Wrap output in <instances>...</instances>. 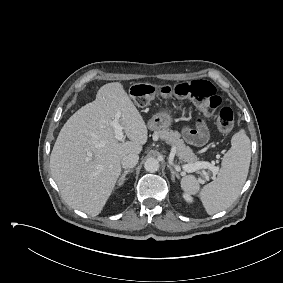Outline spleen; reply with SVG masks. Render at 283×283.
<instances>
[{
	"instance_id": "3e777b00",
	"label": "spleen",
	"mask_w": 283,
	"mask_h": 283,
	"mask_svg": "<svg viewBox=\"0 0 283 283\" xmlns=\"http://www.w3.org/2000/svg\"><path fill=\"white\" fill-rule=\"evenodd\" d=\"M231 145L223 157L217 178L205 185L199 193L209 215L225 210L233 204L248 175L251 147L250 140L244 130L233 135ZM181 188L188 194H196L200 185L195 176L187 175L181 180Z\"/></svg>"
}]
</instances>
